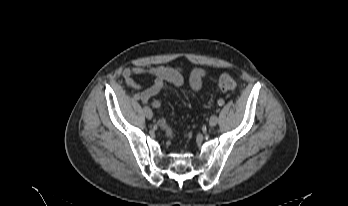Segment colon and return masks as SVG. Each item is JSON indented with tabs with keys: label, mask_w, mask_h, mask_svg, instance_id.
I'll use <instances>...</instances> for the list:
<instances>
[{
	"label": "colon",
	"mask_w": 348,
	"mask_h": 206,
	"mask_svg": "<svg viewBox=\"0 0 348 206\" xmlns=\"http://www.w3.org/2000/svg\"><path fill=\"white\" fill-rule=\"evenodd\" d=\"M218 86L221 90L223 91H234L236 89V81L234 80V78L228 74H224L220 77L219 82H218ZM154 106H159V102L155 101ZM159 124L163 130V132L167 135V136H171L172 135V129L169 127V125L166 123V121L164 119H161L159 121Z\"/></svg>",
	"instance_id": "1"
}]
</instances>
